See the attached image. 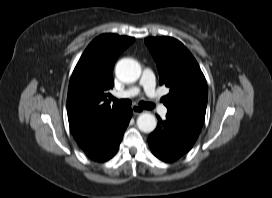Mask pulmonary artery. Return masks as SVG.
<instances>
[{"label": "pulmonary artery", "instance_id": "obj_1", "mask_svg": "<svg viewBox=\"0 0 272 198\" xmlns=\"http://www.w3.org/2000/svg\"><path fill=\"white\" fill-rule=\"evenodd\" d=\"M140 85L144 89V92L149 97H156V88H155V77L154 73L151 69L146 68L143 72V76L140 82ZM139 88L138 87H132L130 89L117 91L114 93V96L118 99H126L134 97L138 94ZM155 106L158 105V100L156 99L155 103H153ZM158 111L159 113L164 116L167 113V109L163 105H158Z\"/></svg>", "mask_w": 272, "mask_h": 198}]
</instances>
